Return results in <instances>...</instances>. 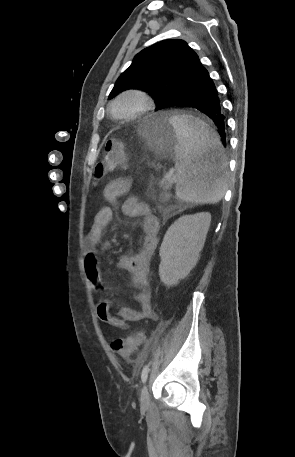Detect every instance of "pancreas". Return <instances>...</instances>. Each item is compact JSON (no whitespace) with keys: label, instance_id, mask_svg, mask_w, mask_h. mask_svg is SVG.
<instances>
[{"label":"pancreas","instance_id":"pancreas-1","mask_svg":"<svg viewBox=\"0 0 295 457\" xmlns=\"http://www.w3.org/2000/svg\"><path fill=\"white\" fill-rule=\"evenodd\" d=\"M162 185H163V189L166 191L170 187V182H162ZM168 196L169 195H167L166 193L164 194L165 198H168Z\"/></svg>","mask_w":295,"mask_h":457}]
</instances>
